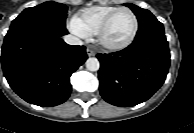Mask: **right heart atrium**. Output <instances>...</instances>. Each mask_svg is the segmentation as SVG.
Instances as JSON below:
<instances>
[{"label":"right heart atrium","mask_w":194,"mask_h":133,"mask_svg":"<svg viewBox=\"0 0 194 133\" xmlns=\"http://www.w3.org/2000/svg\"><path fill=\"white\" fill-rule=\"evenodd\" d=\"M70 29L73 33L79 36H85L87 34V30L83 23L79 19H72L69 23Z\"/></svg>","instance_id":"1"}]
</instances>
